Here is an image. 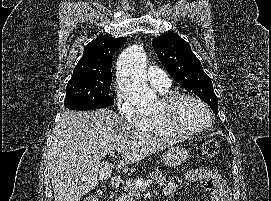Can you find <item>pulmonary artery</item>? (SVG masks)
Returning <instances> with one entry per match:
<instances>
[{"label":"pulmonary artery","instance_id":"obj_1","mask_svg":"<svg viewBox=\"0 0 271 201\" xmlns=\"http://www.w3.org/2000/svg\"><path fill=\"white\" fill-rule=\"evenodd\" d=\"M147 76L149 82L159 90L168 89L170 86V80L167 74L159 67L150 66Z\"/></svg>","mask_w":271,"mask_h":201}]
</instances>
